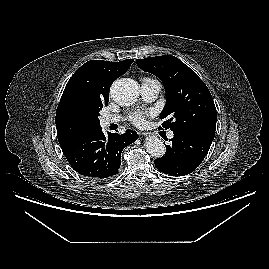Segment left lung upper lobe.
<instances>
[{
  "mask_svg": "<svg viewBox=\"0 0 269 269\" xmlns=\"http://www.w3.org/2000/svg\"><path fill=\"white\" fill-rule=\"evenodd\" d=\"M143 71L160 78L166 91V104L160 114L164 123L176 133L198 130L215 132L217 113L213 98L199 76L175 56L164 55L137 59Z\"/></svg>",
  "mask_w": 269,
  "mask_h": 269,
  "instance_id": "1",
  "label": "left lung upper lobe"
}]
</instances>
